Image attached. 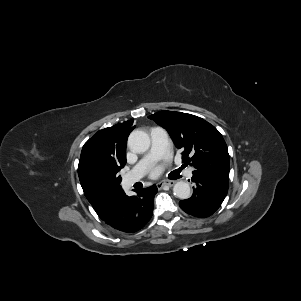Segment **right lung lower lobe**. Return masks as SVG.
<instances>
[{"label": "right lung lower lobe", "instance_id": "1", "mask_svg": "<svg viewBox=\"0 0 301 301\" xmlns=\"http://www.w3.org/2000/svg\"><path fill=\"white\" fill-rule=\"evenodd\" d=\"M137 195L128 197L122 190L111 210L102 218L106 224L123 232H136L150 220L156 185L136 190Z\"/></svg>", "mask_w": 301, "mask_h": 301}]
</instances>
